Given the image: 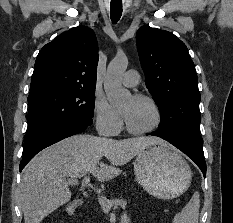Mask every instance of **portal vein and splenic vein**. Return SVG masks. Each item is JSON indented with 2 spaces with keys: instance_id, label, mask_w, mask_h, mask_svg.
<instances>
[{
  "instance_id": "obj_1",
  "label": "portal vein and splenic vein",
  "mask_w": 233,
  "mask_h": 223,
  "mask_svg": "<svg viewBox=\"0 0 233 223\" xmlns=\"http://www.w3.org/2000/svg\"><path fill=\"white\" fill-rule=\"evenodd\" d=\"M68 183L70 185H77V183H80V185H83V187H91L90 183V175H85L83 179H77V177H67ZM97 199L100 203V205H116V206H125V201H118V202H111V199H107L105 195H97Z\"/></svg>"
}]
</instances>
